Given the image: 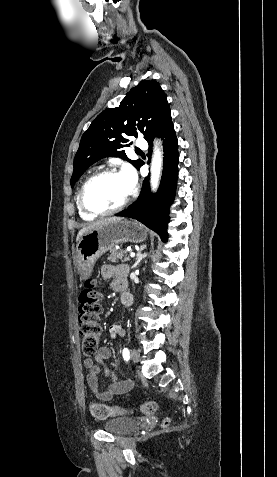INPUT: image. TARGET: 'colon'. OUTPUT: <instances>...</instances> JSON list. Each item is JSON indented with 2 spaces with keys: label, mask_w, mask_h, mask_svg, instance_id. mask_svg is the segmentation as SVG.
<instances>
[{
  "label": "colon",
  "mask_w": 277,
  "mask_h": 477,
  "mask_svg": "<svg viewBox=\"0 0 277 477\" xmlns=\"http://www.w3.org/2000/svg\"><path fill=\"white\" fill-rule=\"evenodd\" d=\"M95 286L94 280L87 281L79 295V332L82 339V349L87 356L96 353L101 338L99 323L101 297ZM156 409L157 404L154 401H146L140 406V411L145 415L153 414ZM90 412L97 419H106L111 416L128 414L130 410L121 407H111L101 403H92L90 405ZM168 423V420L164 421V425Z\"/></svg>",
  "instance_id": "5ec220e1"
}]
</instances>
